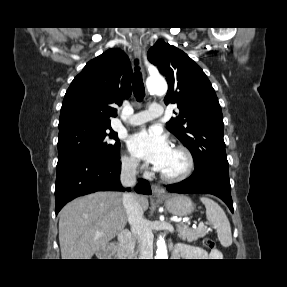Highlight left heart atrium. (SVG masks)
<instances>
[{"label": "left heart atrium", "instance_id": "39dd6f15", "mask_svg": "<svg viewBox=\"0 0 287 287\" xmlns=\"http://www.w3.org/2000/svg\"><path fill=\"white\" fill-rule=\"evenodd\" d=\"M128 146L136 157L152 164L159 171L171 150L167 138L157 129H142L133 134Z\"/></svg>", "mask_w": 287, "mask_h": 287}]
</instances>
